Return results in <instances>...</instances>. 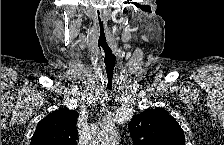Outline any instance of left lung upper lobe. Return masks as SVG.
Listing matches in <instances>:
<instances>
[{"label": "left lung upper lobe", "mask_w": 224, "mask_h": 145, "mask_svg": "<svg viewBox=\"0 0 224 145\" xmlns=\"http://www.w3.org/2000/svg\"><path fill=\"white\" fill-rule=\"evenodd\" d=\"M134 145H185L184 132L164 109H147L128 125Z\"/></svg>", "instance_id": "1"}]
</instances>
